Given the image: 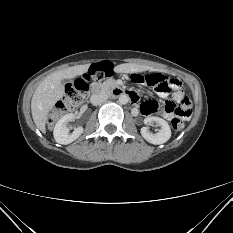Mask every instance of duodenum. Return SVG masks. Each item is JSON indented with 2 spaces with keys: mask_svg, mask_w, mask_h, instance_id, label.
<instances>
[{
  "mask_svg": "<svg viewBox=\"0 0 233 233\" xmlns=\"http://www.w3.org/2000/svg\"><path fill=\"white\" fill-rule=\"evenodd\" d=\"M103 90H104V85L101 82H96L92 86V92L101 93ZM113 94L115 96H127L132 101L137 100V95L135 93L126 91V90H124L123 88H120V87H116L113 90Z\"/></svg>",
  "mask_w": 233,
  "mask_h": 233,
  "instance_id": "obj_1",
  "label": "duodenum"
}]
</instances>
